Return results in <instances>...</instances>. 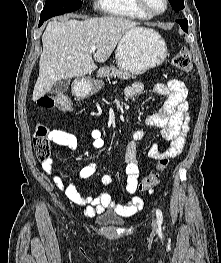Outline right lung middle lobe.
I'll return each instance as SVG.
<instances>
[{
    "label": "right lung middle lobe",
    "mask_w": 221,
    "mask_h": 263,
    "mask_svg": "<svg viewBox=\"0 0 221 263\" xmlns=\"http://www.w3.org/2000/svg\"><path fill=\"white\" fill-rule=\"evenodd\" d=\"M83 0H46L40 19H49L56 15L72 12L82 6Z\"/></svg>",
    "instance_id": "right-lung-middle-lobe-1"
}]
</instances>
